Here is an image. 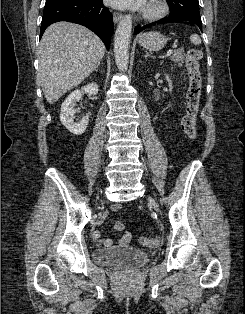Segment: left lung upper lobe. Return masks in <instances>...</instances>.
I'll return each mask as SVG.
<instances>
[{
    "instance_id": "obj_1",
    "label": "left lung upper lobe",
    "mask_w": 245,
    "mask_h": 314,
    "mask_svg": "<svg viewBox=\"0 0 245 314\" xmlns=\"http://www.w3.org/2000/svg\"><path fill=\"white\" fill-rule=\"evenodd\" d=\"M169 8L170 15L179 16H191L195 18H201L199 14V2L198 0H166Z\"/></svg>"
}]
</instances>
